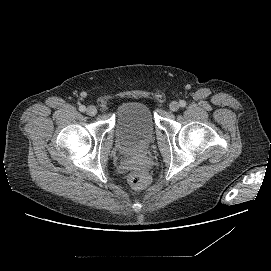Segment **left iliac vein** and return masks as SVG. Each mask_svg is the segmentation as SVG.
Returning a JSON list of instances; mask_svg holds the SVG:
<instances>
[{
  "label": "left iliac vein",
  "mask_w": 271,
  "mask_h": 271,
  "mask_svg": "<svg viewBox=\"0 0 271 271\" xmlns=\"http://www.w3.org/2000/svg\"><path fill=\"white\" fill-rule=\"evenodd\" d=\"M179 104L176 101H172L169 105V109L173 112L177 111L179 109Z\"/></svg>",
  "instance_id": "4c4485c4"
}]
</instances>
